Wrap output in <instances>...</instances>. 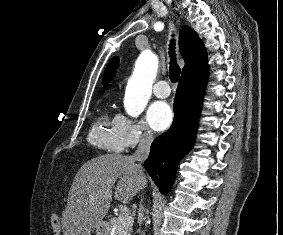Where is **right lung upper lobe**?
<instances>
[{
	"label": "right lung upper lobe",
	"instance_id": "1",
	"mask_svg": "<svg viewBox=\"0 0 283 235\" xmlns=\"http://www.w3.org/2000/svg\"><path fill=\"white\" fill-rule=\"evenodd\" d=\"M179 47L185 61V66L182 69V79L192 78L207 72V57L203 42L188 26H184L180 31ZM117 65L118 58H112L104 72V84H107L113 78Z\"/></svg>",
	"mask_w": 283,
	"mask_h": 235
}]
</instances>
